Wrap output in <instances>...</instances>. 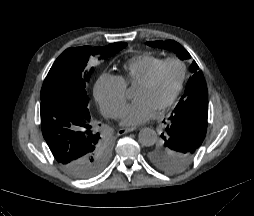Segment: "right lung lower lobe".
<instances>
[{
    "label": "right lung lower lobe",
    "mask_w": 254,
    "mask_h": 216,
    "mask_svg": "<svg viewBox=\"0 0 254 216\" xmlns=\"http://www.w3.org/2000/svg\"><path fill=\"white\" fill-rule=\"evenodd\" d=\"M41 129L54 158L68 174L87 179L100 171V140L93 132L88 108L64 96L47 97L41 101Z\"/></svg>",
    "instance_id": "1"
}]
</instances>
